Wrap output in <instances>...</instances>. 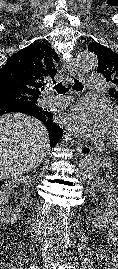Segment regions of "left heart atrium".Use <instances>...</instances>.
<instances>
[{
	"label": "left heart atrium",
	"mask_w": 118,
	"mask_h": 269,
	"mask_svg": "<svg viewBox=\"0 0 118 269\" xmlns=\"http://www.w3.org/2000/svg\"><path fill=\"white\" fill-rule=\"evenodd\" d=\"M113 115L104 102L81 101L72 107L67 121L79 135L100 139L109 134Z\"/></svg>",
	"instance_id": "obj_1"
}]
</instances>
